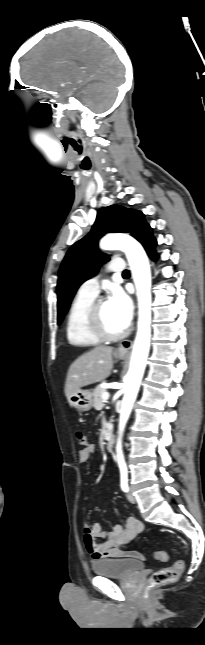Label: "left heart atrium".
I'll return each mask as SVG.
<instances>
[{
  "label": "left heart atrium",
  "mask_w": 205,
  "mask_h": 645,
  "mask_svg": "<svg viewBox=\"0 0 205 645\" xmlns=\"http://www.w3.org/2000/svg\"><path fill=\"white\" fill-rule=\"evenodd\" d=\"M107 302L121 327L126 329L131 323L133 316V303L131 298L121 288L114 287L111 290Z\"/></svg>",
  "instance_id": "obj_1"
}]
</instances>
